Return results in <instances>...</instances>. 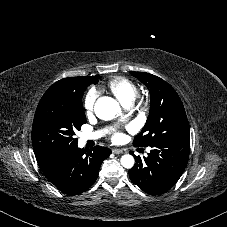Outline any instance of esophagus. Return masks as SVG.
<instances>
[{"label":"esophagus","instance_id":"34e87169","mask_svg":"<svg viewBox=\"0 0 227 227\" xmlns=\"http://www.w3.org/2000/svg\"><path fill=\"white\" fill-rule=\"evenodd\" d=\"M112 152L114 154H122L123 153V150L122 149H116V148H114V149H112Z\"/></svg>","mask_w":227,"mask_h":227}]
</instances>
